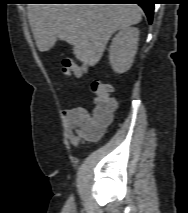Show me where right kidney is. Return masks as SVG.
Here are the masks:
<instances>
[{
    "instance_id": "right-kidney-1",
    "label": "right kidney",
    "mask_w": 188,
    "mask_h": 213,
    "mask_svg": "<svg viewBox=\"0 0 188 213\" xmlns=\"http://www.w3.org/2000/svg\"><path fill=\"white\" fill-rule=\"evenodd\" d=\"M139 40L136 27L122 28L112 39L109 61L114 72L124 73L132 66Z\"/></svg>"
}]
</instances>
